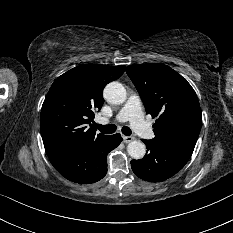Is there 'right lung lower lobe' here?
<instances>
[{
	"instance_id": "98d812e1",
	"label": "right lung lower lobe",
	"mask_w": 233,
	"mask_h": 233,
	"mask_svg": "<svg viewBox=\"0 0 233 233\" xmlns=\"http://www.w3.org/2000/svg\"><path fill=\"white\" fill-rule=\"evenodd\" d=\"M122 141L120 134L103 136L49 156L51 164L66 179L78 183H94L107 173V154Z\"/></svg>"
}]
</instances>
